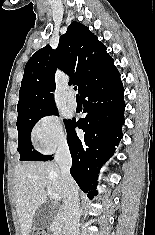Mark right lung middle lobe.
<instances>
[{
  "mask_svg": "<svg viewBox=\"0 0 155 235\" xmlns=\"http://www.w3.org/2000/svg\"><path fill=\"white\" fill-rule=\"evenodd\" d=\"M48 115H58L57 109H51L46 111H34L24 113L18 116L17 118V130H18V149L17 151L20 153L21 161H35L45 160L48 156L42 155L37 151L33 150L30 141V134L33 126L44 116ZM66 130L69 127L71 121L64 120Z\"/></svg>",
  "mask_w": 155,
  "mask_h": 235,
  "instance_id": "obj_1",
  "label": "right lung middle lobe"
}]
</instances>
